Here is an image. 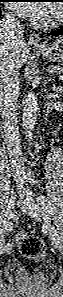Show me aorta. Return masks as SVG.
<instances>
[{"mask_svg":"<svg viewBox=\"0 0 63 297\" xmlns=\"http://www.w3.org/2000/svg\"><path fill=\"white\" fill-rule=\"evenodd\" d=\"M39 112L38 97L35 93L30 92L23 100L22 125L26 138L32 137V131L37 121Z\"/></svg>","mask_w":63,"mask_h":297,"instance_id":"obj_1","label":"aorta"}]
</instances>
